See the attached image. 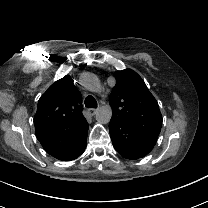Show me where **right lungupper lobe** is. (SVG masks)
<instances>
[{"label":"right lung upper lobe","mask_w":208,"mask_h":208,"mask_svg":"<svg viewBox=\"0 0 208 208\" xmlns=\"http://www.w3.org/2000/svg\"><path fill=\"white\" fill-rule=\"evenodd\" d=\"M84 119L82 97L68 75L54 82L38 101L36 136L59 133Z\"/></svg>","instance_id":"cb5924a9"}]
</instances>
